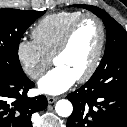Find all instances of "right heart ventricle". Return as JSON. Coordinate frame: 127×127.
I'll use <instances>...</instances> for the list:
<instances>
[{
    "label": "right heart ventricle",
    "instance_id": "right-heart-ventricle-1",
    "mask_svg": "<svg viewBox=\"0 0 127 127\" xmlns=\"http://www.w3.org/2000/svg\"><path fill=\"white\" fill-rule=\"evenodd\" d=\"M81 15L77 11H62L43 17L32 30L33 40L51 58L67 29Z\"/></svg>",
    "mask_w": 127,
    "mask_h": 127
}]
</instances>
